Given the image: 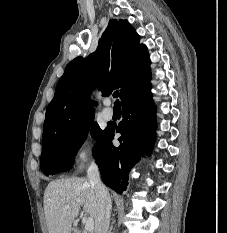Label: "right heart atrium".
<instances>
[{"mask_svg": "<svg viewBox=\"0 0 227 233\" xmlns=\"http://www.w3.org/2000/svg\"><path fill=\"white\" fill-rule=\"evenodd\" d=\"M94 143L91 136L79 138L71 151V162L76 168H82L87 162L94 159Z\"/></svg>", "mask_w": 227, "mask_h": 233, "instance_id": "right-heart-atrium-1", "label": "right heart atrium"}]
</instances>
